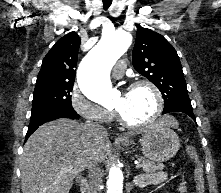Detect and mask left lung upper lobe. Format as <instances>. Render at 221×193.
Here are the masks:
<instances>
[{"label": "left lung upper lobe", "instance_id": "left-lung-upper-lobe-1", "mask_svg": "<svg viewBox=\"0 0 221 193\" xmlns=\"http://www.w3.org/2000/svg\"><path fill=\"white\" fill-rule=\"evenodd\" d=\"M132 60L135 70L162 93L164 109L191 103L177 52L162 35L139 26Z\"/></svg>", "mask_w": 221, "mask_h": 193}]
</instances>
